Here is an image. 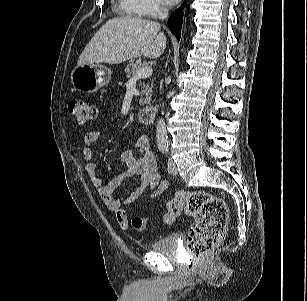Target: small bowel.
I'll list each match as a JSON object with an SVG mask.
<instances>
[{
    "label": "small bowel",
    "mask_w": 307,
    "mask_h": 301,
    "mask_svg": "<svg viewBox=\"0 0 307 301\" xmlns=\"http://www.w3.org/2000/svg\"><path fill=\"white\" fill-rule=\"evenodd\" d=\"M106 129H99L87 132L83 140L82 158L87 162L86 174L91 183L97 188L103 202L114 212L119 226L123 230L129 227V218L125 207L134 203L146 190H150L149 199L154 200L161 196L167 189L168 183L160 179L157 170V162L154 153L145 136L138 138L135 151L127 150L121 154V162L124 171L104 183L97 166L92 162L94 157V145L99 138L106 135ZM137 177L134 189L123 200L113 197L114 191L129 177Z\"/></svg>",
    "instance_id": "obj_1"
}]
</instances>
